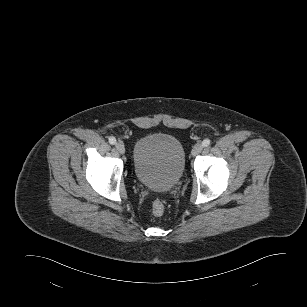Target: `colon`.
Returning <instances> with one entry per match:
<instances>
[{
  "label": "colon",
  "instance_id": "colon-1",
  "mask_svg": "<svg viewBox=\"0 0 307 307\" xmlns=\"http://www.w3.org/2000/svg\"><path fill=\"white\" fill-rule=\"evenodd\" d=\"M151 210L155 216H161L165 211L164 203L159 199L155 200L152 203Z\"/></svg>",
  "mask_w": 307,
  "mask_h": 307
}]
</instances>
